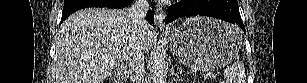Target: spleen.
Listing matches in <instances>:
<instances>
[{
	"mask_svg": "<svg viewBox=\"0 0 307 83\" xmlns=\"http://www.w3.org/2000/svg\"><path fill=\"white\" fill-rule=\"evenodd\" d=\"M222 83H246L245 68L241 61H236L225 69Z\"/></svg>",
	"mask_w": 307,
	"mask_h": 83,
	"instance_id": "1",
	"label": "spleen"
}]
</instances>
